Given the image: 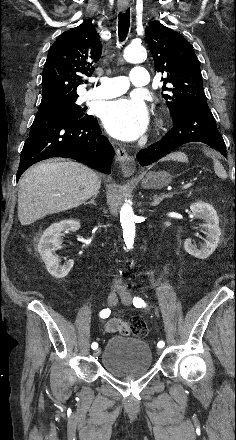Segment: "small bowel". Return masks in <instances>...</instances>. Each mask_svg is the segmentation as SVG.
<instances>
[{
  "mask_svg": "<svg viewBox=\"0 0 236 440\" xmlns=\"http://www.w3.org/2000/svg\"><path fill=\"white\" fill-rule=\"evenodd\" d=\"M131 328L130 321H122L118 318H113L107 321L105 330L107 333H118L119 339H128Z\"/></svg>",
  "mask_w": 236,
  "mask_h": 440,
  "instance_id": "small-bowel-1",
  "label": "small bowel"
}]
</instances>
